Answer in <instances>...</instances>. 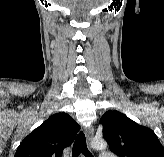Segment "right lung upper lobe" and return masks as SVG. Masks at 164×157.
I'll return each instance as SVG.
<instances>
[{"mask_svg": "<svg viewBox=\"0 0 164 157\" xmlns=\"http://www.w3.org/2000/svg\"><path fill=\"white\" fill-rule=\"evenodd\" d=\"M79 129L67 113L54 114L24 138L14 157H61Z\"/></svg>", "mask_w": 164, "mask_h": 157, "instance_id": "1", "label": "right lung upper lobe"}]
</instances>
